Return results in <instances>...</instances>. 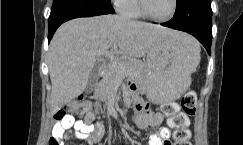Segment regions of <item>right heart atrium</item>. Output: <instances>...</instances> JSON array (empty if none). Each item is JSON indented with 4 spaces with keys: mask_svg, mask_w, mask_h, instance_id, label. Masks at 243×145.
<instances>
[{
    "mask_svg": "<svg viewBox=\"0 0 243 145\" xmlns=\"http://www.w3.org/2000/svg\"><path fill=\"white\" fill-rule=\"evenodd\" d=\"M114 2V4L120 8L121 5L126 1V0H112Z\"/></svg>",
    "mask_w": 243,
    "mask_h": 145,
    "instance_id": "1",
    "label": "right heart atrium"
}]
</instances>
